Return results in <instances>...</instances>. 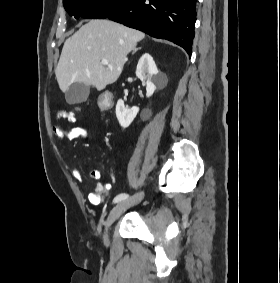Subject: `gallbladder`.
<instances>
[{"label": "gallbladder", "instance_id": "gallbladder-1", "mask_svg": "<svg viewBox=\"0 0 280 283\" xmlns=\"http://www.w3.org/2000/svg\"><path fill=\"white\" fill-rule=\"evenodd\" d=\"M90 93V86L85 83H74L65 92V99L69 104L83 103Z\"/></svg>", "mask_w": 280, "mask_h": 283}]
</instances>
